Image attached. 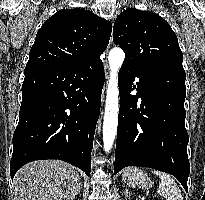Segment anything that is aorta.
Instances as JSON below:
<instances>
[{
    "label": "aorta",
    "instance_id": "762f6f07",
    "mask_svg": "<svg viewBox=\"0 0 205 200\" xmlns=\"http://www.w3.org/2000/svg\"><path fill=\"white\" fill-rule=\"evenodd\" d=\"M125 54L119 47L109 52L108 62L110 77L107 87L105 113L103 121V147L109 152L113 146L118 125V71L124 61Z\"/></svg>",
    "mask_w": 205,
    "mask_h": 200
}]
</instances>
